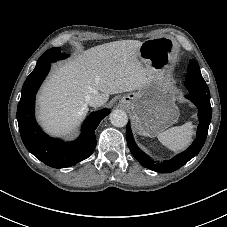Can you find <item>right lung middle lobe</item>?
Instances as JSON below:
<instances>
[{
  "instance_id": "dd1d6c3e",
  "label": "right lung middle lobe",
  "mask_w": 227,
  "mask_h": 227,
  "mask_svg": "<svg viewBox=\"0 0 227 227\" xmlns=\"http://www.w3.org/2000/svg\"><path fill=\"white\" fill-rule=\"evenodd\" d=\"M68 56V54H61L59 48H51L42 54V56L37 61L36 67L33 72L46 64H50L60 59H64Z\"/></svg>"
}]
</instances>
